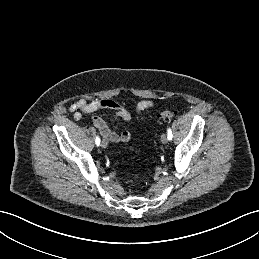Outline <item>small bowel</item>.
Instances as JSON below:
<instances>
[{
    "mask_svg": "<svg viewBox=\"0 0 259 259\" xmlns=\"http://www.w3.org/2000/svg\"><path fill=\"white\" fill-rule=\"evenodd\" d=\"M153 105L154 103L152 100H142L137 103L135 111L141 112L153 107ZM101 109L112 110L115 117L120 118L123 121L131 120V111L127 107L112 99H97L93 101L80 99L69 107V111L73 113V116L76 120H79L81 118L82 113H92ZM92 121L94 126L100 131L101 135L110 142L125 143L130 141L132 138V133L130 131L124 130L120 133H117L110 129L105 121L100 117H94Z\"/></svg>",
    "mask_w": 259,
    "mask_h": 259,
    "instance_id": "obj_1",
    "label": "small bowel"
}]
</instances>
